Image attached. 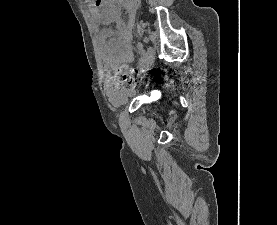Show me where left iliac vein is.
Wrapping results in <instances>:
<instances>
[{
    "mask_svg": "<svg viewBox=\"0 0 277 225\" xmlns=\"http://www.w3.org/2000/svg\"><path fill=\"white\" fill-rule=\"evenodd\" d=\"M154 49L152 47H148L145 56H144V61H143V65H142V71L146 72L149 70V68L151 67V65L153 64V60H154Z\"/></svg>",
    "mask_w": 277,
    "mask_h": 225,
    "instance_id": "obj_1",
    "label": "left iliac vein"
}]
</instances>
